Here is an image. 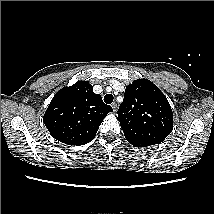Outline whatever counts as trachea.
Returning a JSON list of instances; mask_svg holds the SVG:
<instances>
[{
	"label": "trachea",
	"mask_w": 214,
	"mask_h": 214,
	"mask_svg": "<svg viewBox=\"0 0 214 214\" xmlns=\"http://www.w3.org/2000/svg\"><path fill=\"white\" fill-rule=\"evenodd\" d=\"M113 99H114V97L111 94H107L104 96V102L106 104H111L113 102Z\"/></svg>",
	"instance_id": "1"
}]
</instances>
